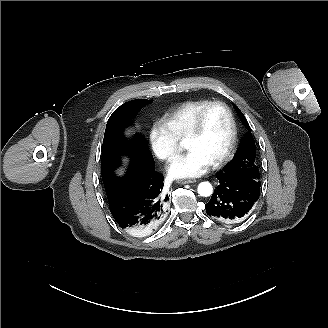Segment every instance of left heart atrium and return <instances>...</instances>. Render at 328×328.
I'll list each match as a JSON object with an SVG mask.
<instances>
[{
	"label": "left heart atrium",
	"instance_id": "1",
	"mask_svg": "<svg viewBox=\"0 0 328 328\" xmlns=\"http://www.w3.org/2000/svg\"><path fill=\"white\" fill-rule=\"evenodd\" d=\"M210 160L201 152L189 149L175 157L167 166L174 178H192L203 175L211 166Z\"/></svg>",
	"mask_w": 328,
	"mask_h": 328
}]
</instances>
